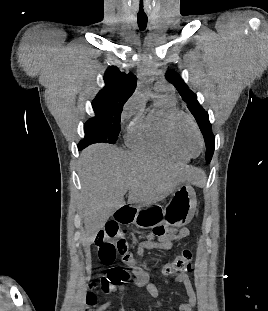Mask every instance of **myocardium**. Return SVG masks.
I'll list each match as a JSON object with an SVG mask.
<instances>
[{
  "mask_svg": "<svg viewBox=\"0 0 268 311\" xmlns=\"http://www.w3.org/2000/svg\"><path fill=\"white\" fill-rule=\"evenodd\" d=\"M180 119H186L191 126L193 127L194 131L196 132L198 138H199V142H200V149L198 151L197 154L193 155L188 153L178 142L177 140V136H176V126L177 123ZM166 134H167V138L171 144V146L180 154H182L183 156L187 157V158H193L197 155H199L203 148H204V139H203V135L196 123V121L194 120V118L183 111L180 110H175L173 112H171L166 120Z\"/></svg>",
  "mask_w": 268,
  "mask_h": 311,
  "instance_id": "1",
  "label": "myocardium"
}]
</instances>
